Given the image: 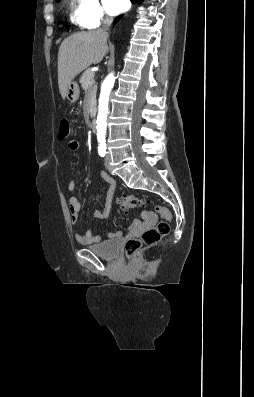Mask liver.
<instances>
[{
	"instance_id": "obj_1",
	"label": "liver",
	"mask_w": 254,
	"mask_h": 397,
	"mask_svg": "<svg viewBox=\"0 0 254 397\" xmlns=\"http://www.w3.org/2000/svg\"><path fill=\"white\" fill-rule=\"evenodd\" d=\"M108 51L98 31L76 33L63 40L58 51V85L63 99L69 83L91 64L100 63Z\"/></svg>"
}]
</instances>
